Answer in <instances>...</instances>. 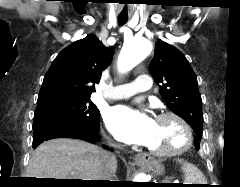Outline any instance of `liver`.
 Listing matches in <instances>:
<instances>
[{"label": "liver", "instance_id": "6515ba94", "mask_svg": "<svg viewBox=\"0 0 240 187\" xmlns=\"http://www.w3.org/2000/svg\"><path fill=\"white\" fill-rule=\"evenodd\" d=\"M104 151L87 142L58 138L43 142L33 152L26 169L28 178L103 180ZM117 161L109 164L110 176Z\"/></svg>", "mask_w": 240, "mask_h": 187}]
</instances>
